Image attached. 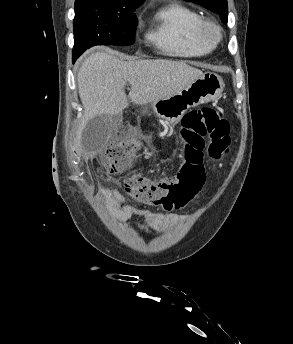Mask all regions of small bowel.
Segmentation results:
<instances>
[{
    "instance_id": "c3829d8e",
    "label": "small bowel",
    "mask_w": 293,
    "mask_h": 344,
    "mask_svg": "<svg viewBox=\"0 0 293 344\" xmlns=\"http://www.w3.org/2000/svg\"><path fill=\"white\" fill-rule=\"evenodd\" d=\"M195 176L203 185L206 179L204 165L196 168ZM101 192L107 201L109 214L114 220L125 222L133 216L143 217L145 222L138 227L140 231L160 232L177 220V215L174 213L154 212L126 203V198L116 188H103Z\"/></svg>"
}]
</instances>
